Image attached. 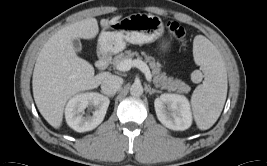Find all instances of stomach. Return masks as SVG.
<instances>
[{
    "mask_svg": "<svg viewBox=\"0 0 267 166\" xmlns=\"http://www.w3.org/2000/svg\"><path fill=\"white\" fill-rule=\"evenodd\" d=\"M164 32L160 17L151 14L135 13L104 27L99 35L97 49L100 53L115 54L131 44H146L158 40ZM166 49L167 44H162Z\"/></svg>",
    "mask_w": 267,
    "mask_h": 166,
    "instance_id": "1",
    "label": "stomach"
}]
</instances>
